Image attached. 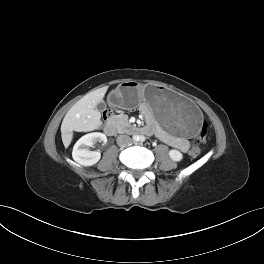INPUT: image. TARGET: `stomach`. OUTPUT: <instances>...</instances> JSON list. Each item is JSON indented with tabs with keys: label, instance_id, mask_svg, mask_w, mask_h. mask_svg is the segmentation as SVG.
<instances>
[{
	"label": "stomach",
	"instance_id": "stomach-1",
	"mask_svg": "<svg viewBox=\"0 0 264 264\" xmlns=\"http://www.w3.org/2000/svg\"><path fill=\"white\" fill-rule=\"evenodd\" d=\"M114 106L131 108L142 105L162 128L174 135L193 138L202 122L199 109L188 99L161 85L121 83L108 98Z\"/></svg>",
	"mask_w": 264,
	"mask_h": 264
}]
</instances>
